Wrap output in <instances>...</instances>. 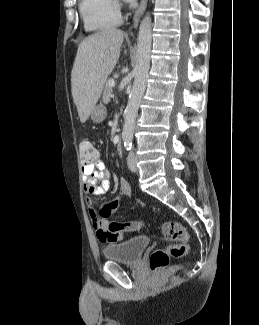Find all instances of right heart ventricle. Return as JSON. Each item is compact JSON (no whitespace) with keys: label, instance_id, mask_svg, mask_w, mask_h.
Returning <instances> with one entry per match:
<instances>
[{"label":"right heart ventricle","instance_id":"1","mask_svg":"<svg viewBox=\"0 0 259 325\" xmlns=\"http://www.w3.org/2000/svg\"><path fill=\"white\" fill-rule=\"evenodd\" d=\"M79 11L84 28L89 32L104 31L121 22L115 0H80Z\"/></svg>","mask_w":259,"mask_h":325}]
</instances>
